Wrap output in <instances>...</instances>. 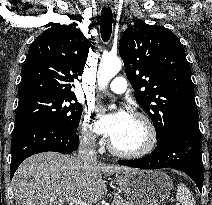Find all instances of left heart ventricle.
I'll return each instance as SVG.
<instances>
[{
  "label": "left heart ventricle",
  "mask_w": 212,
  "mask_h": 205,
  "mask_svg": "<svg viewBox=\"0 0 212 205\" xmlns=\"http://www.w3.org/2000/svg\"><path fill=\"white\" fill-rule=\"evenodd\" d=\"M111 140L115 147L120 150H137L146 141V131L140 121L130 117L127 124Z\"/></svg>",
  "instance_id": "obj_1"
}]
</instances>
